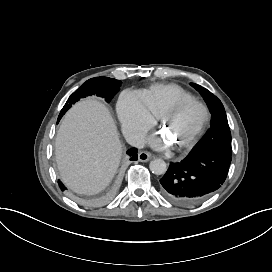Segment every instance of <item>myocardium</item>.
Returning <instances> with one entry per match:
<instances>
[{"label":"myocardium","mask_w":272,"mask_h":272,"mask_svg":"<svg viewBox=\"0 0 272 272\" xmlns=\"http://www.w3.org/2000/svg\"><path fill=\"white\" fill-rule=\"evenodd\" d=\"M191 107L198 108L200 110L201 117H200L199 123L193 129L190 136L187 138L186 141L183 142L184 148H188V147L192 146L194 144V142L196 141L197 137L202 132V130L208 120L207 107L203 103H201L197 100H194V99H191V100L175 99L164 108V110L162 111V113L160 115L161 122L165 123L167 114L179 113V112L185 111Z\"/></svg>","instance_id":"obj_1"}]
</instances>
